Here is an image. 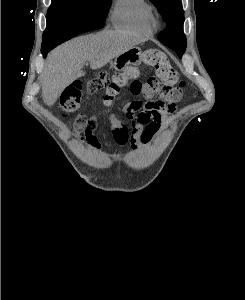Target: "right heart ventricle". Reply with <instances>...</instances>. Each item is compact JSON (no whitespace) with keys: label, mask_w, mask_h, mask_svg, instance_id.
Listing matches in <instances>:
<instances>
[{"label":"right heart ventricle","mask_w":245,"mask_h":300,"mask_svg":"<svg viewBox=\"0 0 245 300\" xmlns=\"http://www.w3.org/2000/svg\"><path fill=\"white\" fill-rule=\"evenodd\" d=\"M110 19L118 30L145 35L157 25L153 8L146 0H116Z\"/></svg>","instance_id":"1"}]
</instances>
